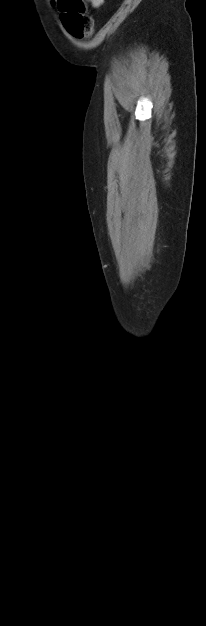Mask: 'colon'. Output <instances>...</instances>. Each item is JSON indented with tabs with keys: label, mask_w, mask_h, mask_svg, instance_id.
I'll use <instances>...</instances> for the list:
<instances>
[{
	"label": "colon",
	"mask_w": 206,
	"mask_h": 626,
	"mask_svg": "<svg viewBox=\"0 0 206 626\" xmlns=\"http://www.w3.org/2000/svg\"><path fill=\"white\" fill-rule=\"evenodd\" d=\"M61 20L74 37L87 38L94 29L93 19L87 14L85 0H57Z\"/></svg>",
	"instance_id": "5ec220e1"
}]
</instances>
